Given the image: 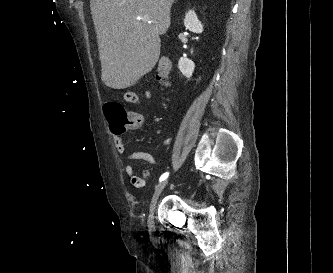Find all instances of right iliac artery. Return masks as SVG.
I'll return each instance as SVG.
<instances>
[{"label": "right iliac artery", "instance_id": "1", "mask_svg": "<svg viewBox=\"0 0 333 273\" xmlns=\"http://www.w3.org/2000/svg\"><path fill=\"white\" fill-rule=\"evenodd\" d=\"M168 175H169L168 172L164 173L163 175H161L159 181L161 182V181L165 180L168 177Z\"/></svg>", "mask_w": 333, "mask_h": 273}]
</instances>
